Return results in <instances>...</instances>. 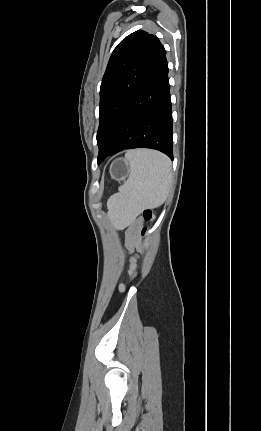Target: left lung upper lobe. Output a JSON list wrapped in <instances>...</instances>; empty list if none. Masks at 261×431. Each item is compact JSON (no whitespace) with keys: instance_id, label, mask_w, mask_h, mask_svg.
<instances>
[{"instance_id":"1","label":"left lung upper lobe","mask_w":261,"mask_h":431,"mask_svg":"<svg viewBox=\"0 0 261 431\" xmlns=\"http://www.w3.org/2000/svg\"><path fill=\"white\" fill-rule=\"evenodd\" d=\"M165 54L156 36L140 30L114 49L100 87L98 164L109 155L133 98Z\"/></svg>"}]
</instances>
